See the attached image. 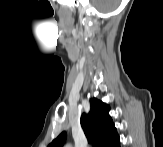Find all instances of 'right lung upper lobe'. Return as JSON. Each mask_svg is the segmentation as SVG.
Instances as JSON below:
<instances>
[{"instance_id": "obj_1", "label": "right lung upper lobe", "mask_w": 163, "mask_h": 147, "mask_svg": "<svg viewBox=\"0 0 163 147\" xmlns=\"http://www.w3.org/2000/svg\"><path fill=\"white\" fill-rule=\"evenodd\" d=\"M90 111L83 114L80 120L81 126L88 142L95 147H109L117 138V130L109 115L110 106L98 99L90 100ZM66 139V132L60 133L49 147H61Z\"/></svg>"}]
</instances>
